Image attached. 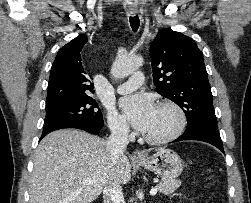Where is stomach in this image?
<instances>
[{
  "mask_svg": "<svg viewBox=\"0 0 251 203\" xmlns=\"http://www.w3.org/2000/svg\"><path fill=\"white\" fill-rule=\"evenodd\" d=\"M137 164L143 166L163 179H175L184 168V162L180 156L170 149H161L151 157L137 161Z\"/></svg>",
  "mask_w": 251,
  "mask_h": 203,
  "instance_id": "obj_1",
  "label": "stomach"
}]
</instances>
